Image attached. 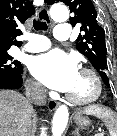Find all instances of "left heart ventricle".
<instances>
[{"instance_id":"obj_1","label":"left heart ventricle","mask_w":117,"mask_h":136,"mask_svg":"<svg viewBox=\"0 0 117 136\" xmlns=\"http://www.w3.org/2000/svg\"><path fill=\"white\" fill-rule=\"evenodd\" d=\"M94 91L91 78L87 75L79 73L69 94L77 98L89 97Z\"/></svg>"}]
</instances>
